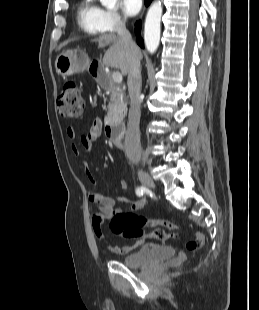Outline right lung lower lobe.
I'll use <instances>...</instances> for the list:
<instances>
[{"label": "right lung lower lobe", "instance_id": "obj_1", "mask_svg": "<svg viewBox=\"0 0 259 310\" xmlns=\"http://www.w3.org/2000/svg\"><path fill=\"white\" fill-rule=\"evenodd\" d=\"M151 1L152 0H145L146 6L149 5ZM140 30H141V23L139 21V22H136V24H135V33L140 35ZM137 43L140 47L144 48V43H143L142 38L137 37Z\"/></svg>", "mask_w": 259, "mask_h": 310}]
</instances>
